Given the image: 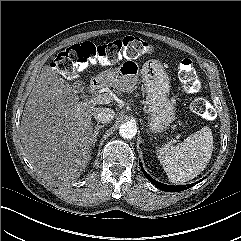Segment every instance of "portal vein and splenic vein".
<instances>
[{"label":"portal vein and splenic vein","instance_id":"1","mask_svg":"<svg viewBox=\"0 0 241 241\" xmlns=\"http://www.w3.org/2000/svg\"><path fill=\"white\" fill-rule=\"evenodd\" d=\"M113 100V96L110 93L99 94L91 99V102L98 104H109Z\"/></svg>","mask_w":241,"mask_h":241}]
</instances>
